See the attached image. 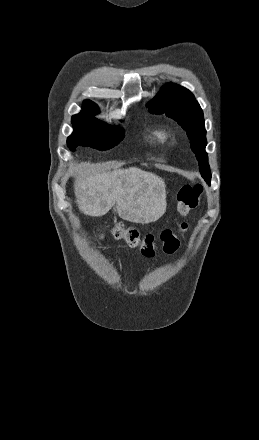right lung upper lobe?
Here are the masks:
<instances>
[{
    "label": "right lung upper lobe",
    "mask_w": 259,
    "mask_h": 440,
    "mask_svg": "<svg viewBox=\"0 0 259 440\" xmlns=\"http://www.w3.org/2000/svg\"><path fill=\"white\" fill-rule=\"evenodd\" d=\"M83 106L86 107V108H96V109H98V106L94 102H92L90 100L84 101Z\"/></svg>",
    "instance_id": "cb5924a9"
}]
</instances>
